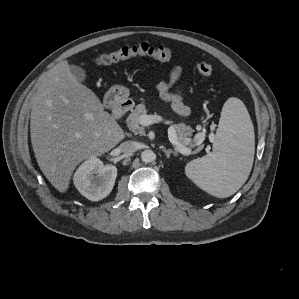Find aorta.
<instances>
[{
	"label": "aorta",
	"mask_w": 299,
	"mask_h": 299,
	"mask_svg": "<svg viewBox=\"0 0 299 299\" xmlns=\"http://www.w3.org/2000/svg\"><path fill=\"white\" fill-rule=\"evenodd\" d=\"M141 159L145 163H150L156 159V154L152 150H144L141 153Z\"/></svg>",
	"instance_id": "1"
}]
</instances>
